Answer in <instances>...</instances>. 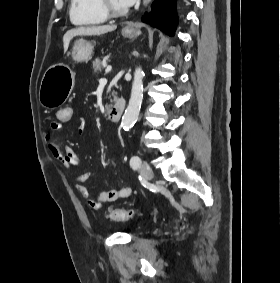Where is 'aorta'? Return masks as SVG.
I'll return each mask as SVG.
<instances>
[{
    "mask_svg": "<svg viewBox=\"0 0 280 283\" xmlns=\"http://www.w3.org/2000/svg\"><path fill=\"white\" fill-rule=\"evenodd\" d=\"M143 77L144 72L138 67L134 72L129 104L122 117L121 126L124 130H129L138 119L143 99Z\"/></svg>",
    "mask_w": 280,
    "mask_h": 283,
    "instance_id": "762f6f07",
    "label": "aorta"
}]
</instances>
